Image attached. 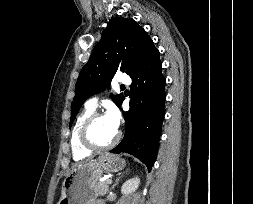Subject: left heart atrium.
<instances>
[{
	"label": "left heart atrium",
	"mask_w": 253,
	"mask_h": 204,
	"mask_svg": "<svg viewBox=\"0 0 253 204\" xmlns=\"http://www.w3.org/2000/svg\"><path fill=\"white\" fill-rule=\"evenodd\" d=\"M106 118L110 122V124L118 130L120 124V113L115 107H109L106 113Z\"/></svg>",
	"instance_id": "1"
}]
</instances>
